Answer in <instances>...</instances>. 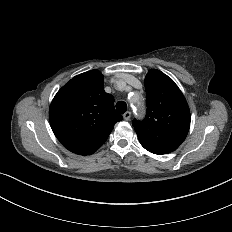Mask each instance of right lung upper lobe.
I'll return each instance as SVG.
<instances>
[{"instance_id": "cb5924a9", "label": "right lung upper lobe", "mask_w": 232, "mask_h": 232, "mask_svg": "<svg viewBox=\"0 0 232 232\" xmlns=\"http://www.w3.org/2000/svg\"><path fill=\"white\" fill-rule=\"evenodd\" d=\"M49 119L65 148L79 155H91L123 117L115 111L113 96L104 91L101 72L91 70L75 76L57 92Z\"/></svg>"}]
</instances>
